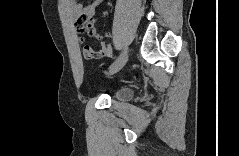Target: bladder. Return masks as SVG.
<instances>
[{
    "instance_id": "1",
    "label": "bladder",
    "mask_w": 239,
    "mask_h": 156,
    "mask_svg": "<svg viewBox=\"0 0 239 156\" xmlns=\"http://www.w3.org/2000/svg\"><path fill=\"white\" fill-rule=\"evenodd\" d=\"M112 96L117 101L127 102L133 97V90L127 87H120L113 91Z\"/></svg>"
}]
</instances>
